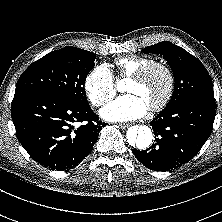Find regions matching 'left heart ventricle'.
<instances>
[{
  "label": "left heart ventricle",
  "mask_w": 222,
  "mask_h": 222,
  "mask_svg": "<svg viewBox=\"0 0 222 222\" xmlns=\"http://www.w3.org/2000/svg\"><path fill=\"white\" fill-rule=\"evenodd\" d=\"M167 88L166 74L156 69L152 71L143 81L136 82L129 80L126 85L128 93L139 95L148 105V107L156 104L163 97Z\"/></svg>",
  "instance_id": "obj_1"
}]
</instances>
